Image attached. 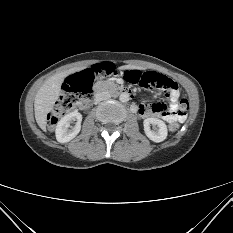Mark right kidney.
I'll list each match as a JSON object with an SVG mask.
<instances>
[{"label": "right kidney", "instance_id": "1", "mask_svg": "<svg viewBox=\"0 0 233 233\" xmlns=\"http://www.w3.org/2000/svg\"><path fill=\"white\" fill-rule=\"evenodd\" d=\"M76 121L75 125L72 123ZM82 115L79 112H71L60 119L56 126V139L60 143H66L77 136L81 130Z\"/></svg>", "mask_w": 233, "mask_h": 233}]
</instances>
